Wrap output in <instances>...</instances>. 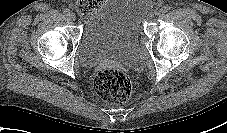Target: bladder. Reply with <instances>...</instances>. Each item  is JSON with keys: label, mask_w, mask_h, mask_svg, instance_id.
<instances>
[{"label": "bladder", "mask_w": 227, "mask_h": 133, "mask_svg": "<svg viewBox=\"0 0 227 133\" xmlns=\"http://www.w3.org/2000/svg\"><path fill=\"white\" fill-rule=\"evenodd\" d=\"M147 0H105L84 23L77 54L85 67L113 60L141 62L142 21Z\"/></svg>", "instance_id": "1"}]
</instances>
